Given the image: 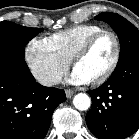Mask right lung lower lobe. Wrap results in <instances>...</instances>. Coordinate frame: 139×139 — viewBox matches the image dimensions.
<instances>
[{
    "label": "right lung lower lobe",
    "instance_id": "1",
    "mask_svg": "<svg viewBox=\"0 0 139 139\" xmlns=\"http://www.w3.org/2000/svg\"><path fill=\"white\" fill-rule=\"evenodd\" d=\"M65 100L64 90L35 81L24 56L0 50V139H43Z\"/></svg>",
    "mask_w": 139,
    "mask_h": 139
}]
</instances>
